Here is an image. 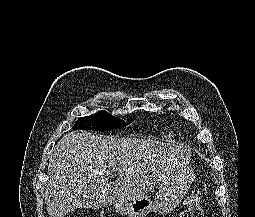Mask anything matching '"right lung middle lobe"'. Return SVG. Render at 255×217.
I'll use <instances>...</instances> for the list:
<instances>
[{
    "mask_svg": "<svg viewBox=\"0 0 255 217\" xmlns=\"http://www.w3.org/2000/svg\"><path fill=\"white\" fill-rule=\"evenodd\" d=\"M125 126V121L110 115L106 111H100L91 116L79 118L75 123L74 130L104 131Z\"/></svg>",
    "mask_w": 255,
    "mask_h": 217,
    "instance_id": "obj_1",
    "label": "right lung middle lobe"
}]
</instances>
